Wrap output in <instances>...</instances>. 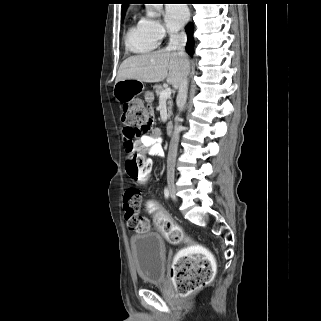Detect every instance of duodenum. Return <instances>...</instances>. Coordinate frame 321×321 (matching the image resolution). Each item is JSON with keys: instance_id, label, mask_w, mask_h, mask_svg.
<instances>
[{"instance_id": "410a0bca", "label": "duodenum", "mask_w": 321, "mask_h": 321, "mask_svg": "<svg viewBox=\"0 0 321 321\" xmlns=\"http://www.w3.org/2000/svg\"><path fill=\"white\" fill-rule=\"evenodd\" d=\"M165 129H166V133H167L168 135H171L172 132H173V123H172V122H168V123L166 124Z\"/></svg>"}]
</instances>
